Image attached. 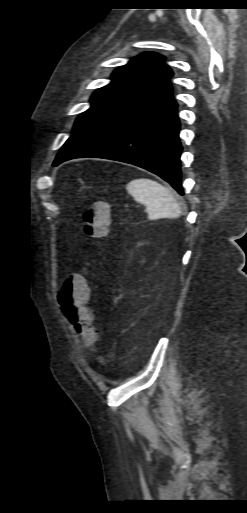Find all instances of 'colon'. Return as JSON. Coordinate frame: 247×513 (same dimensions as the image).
Returning a JSON list of instances; mask_svg holds the SVG:
<instances>
[{
  "label": "colon",
  "mask_w": 247,
  "mask_h": 513,
  "mask_svg": "<svg viewBox=\"0 0 247 513\" xmlns=\"http://www.w3.org/2000/svg\"><path fill=\"white\" fill-rule=\"evenodd\" d=\"M111 222V207L106 202H97L82 215L84 233L93 239L100 240L107 235ZM90 295L88 272H80L69 276L61 286L58 294L60 307L73 325L76 332L87 343L97 338L93 326L94 317L87 306Z\"/></svg>",
  "instance_id": "colon-1"
}]
</instances>
